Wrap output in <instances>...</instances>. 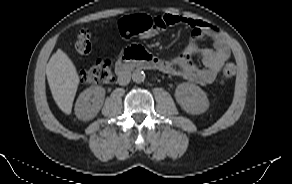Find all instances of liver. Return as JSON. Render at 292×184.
I'll return each instance as SVG.
<instances>
[{
  "mask_svg": "<svg viewBox=\"0 0 292 184\" xmlns=\"http://www.w3.org/2000/svg\"><path fill=\"white\" fill-rule=\"evenodd\" d=\"M46 75L56 104L65 114H70L80 79L75 65L61 49L51 56Z\"/></svg>",
  "mask_w": 292,
  "mask_h": 184,
  "instance_id": "liver-1",
  "label": "liver"
}]
</instances>
